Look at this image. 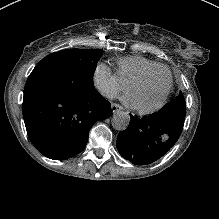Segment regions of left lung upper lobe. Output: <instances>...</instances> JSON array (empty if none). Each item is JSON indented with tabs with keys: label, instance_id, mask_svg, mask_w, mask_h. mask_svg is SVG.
<instances>
[{
	"label": "left lung upper lobe",
	"instance_id": "1",
	"mask_svg": "<svg viewBox=\"0 0 219 219\" xmlns=\"http://www.w3.org/2000/svg\"><path fill=\"white\" fill-rule=\"evenodd\" d=\"M186 113L185 99L183 94L180 93L176 99H173L170 103L166 104L157 114L170 116L177 120L184 122Z\"/></svg>",
	"mask_w": 219,
	"mask_h": 219
}]
</instances>
